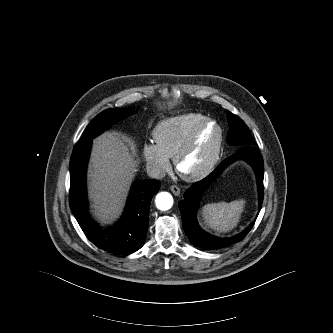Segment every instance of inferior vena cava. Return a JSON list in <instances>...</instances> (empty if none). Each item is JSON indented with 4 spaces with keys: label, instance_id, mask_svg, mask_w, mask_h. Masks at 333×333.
Wrapping results in <instances>:
<instances>
[{
    "label": "inferior vena cava",
    "instance_id": "obj_1",
    "mask_svg": "<svg viewBox=\"0 0 333 333\" xmlns=\"http://www.w3.org/2000/svg\"><path fill=\"white\" fill-rule=\"evenodd\" d=\"M146 169L148 176L154 179H162L166 175L165 170L157 165H148Z\"/></svg>",
    "mask_w": 333,
    "mask_h": 333
}]
</instances>
